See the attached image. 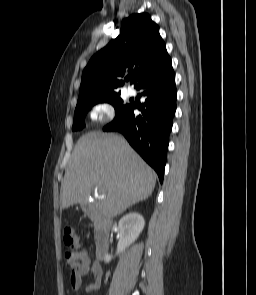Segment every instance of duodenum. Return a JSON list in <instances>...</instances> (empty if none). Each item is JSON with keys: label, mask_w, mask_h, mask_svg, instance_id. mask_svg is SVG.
<instances>
[{"label": "duodenum", "mask_w": 256, "mask_h": 295, "mask_svg": "<svg viewBox=\"0 0 256 295\" xmlns=\"http://www.w3.org/2000/svg\"><path fill=\"white\" fill-rule=\"evenodd\" d=\"M84 212L95 224V246L96 254L102 259L109 247V221L101 214L96 206L86 203L83 205Z\"/></svg>", "instance_id": "obj_1"}]
</instances>
